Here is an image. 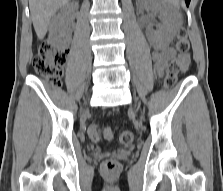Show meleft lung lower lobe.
<instances>
[{"mask_svg": "<svg viewBox=\"0 0 223 191\" xmlns=\"http://www.w3.org/2000/svg\"><path fill=\"white\" fill-rule=\"evenodd\" d=\"M186 1V4H187V6L189 5V3H190V0H185Z\"/></svg>", "mask_w": 223, "mask_h": 191, "instance_id": "0a47b994", "label": "left lung lower lobe"}]
</instances>
